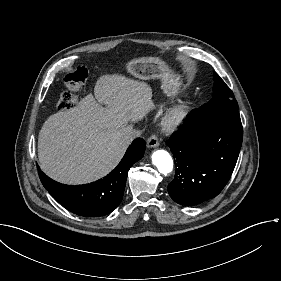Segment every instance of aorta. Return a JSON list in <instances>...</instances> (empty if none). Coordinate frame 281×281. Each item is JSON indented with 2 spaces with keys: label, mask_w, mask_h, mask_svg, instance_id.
<instances>
[{
  "label": "aorta",
  "mask_w": 281,
  "mask_h": 281,
  "mask_svg": "<svg viewBox=\"0 0 281 281\" xmlns=\"http://www.w3.org/2000/svg\"><path fill=\"white\" fill-rule=\"evenodd\" d=\"M152 163L163 175H167L173 170V160L170 154L165 150H156L152 154Z\"/></svg>",
  "instance_id": "1"
}]
</instances>
